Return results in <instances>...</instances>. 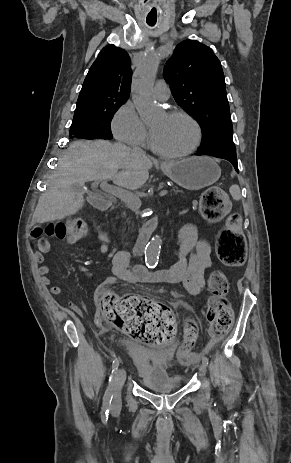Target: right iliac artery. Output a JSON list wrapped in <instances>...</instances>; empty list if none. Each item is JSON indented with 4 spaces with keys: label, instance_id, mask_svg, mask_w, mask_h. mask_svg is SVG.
<instances>
[{
    "label": "right iliac artery",
    "instance_id": "1",
    "mask_svg": "<svg viewBox=\"0 0 291 463\" xmlns=\"http://www.w3.org/2000/svg\"><path fill=\"white\" fill-rule=\"evenodd\" d=\"M118 367H119V359L116 358L113 360V363H112V372H111V375L109 377V385H108V388L105 392V396H104V399H103V407H102V422L105 423L108 419V412H109V409L111 407V402H112V398H113V390H114V387L117 383V370H118Z\"/></svg>",
    "mask_w": 291,
    "mask_h": 463
}]
</instances>
